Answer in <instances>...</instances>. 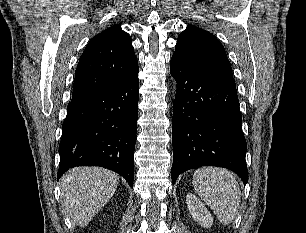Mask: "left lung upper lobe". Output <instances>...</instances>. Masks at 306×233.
Listing matches in <instances>:
<instances>
[{
  "mask_svg": "<svg viewBox=\"0 0 306 233\" xmlns=\"http://www.w3.org/2000/svg\"><path fill=\"white\" fill-rule=\"evenodd\" d=\"M176 56L189 66L233 78L225 49L210 32L188 25L181 32L175 46Z\"/></svg>",
  "mask_w": 306,
  "mask_h": 233,
  "instance_id": "5c2ea615",
  "label": "left lung upper lobe"
}]
</instances>
